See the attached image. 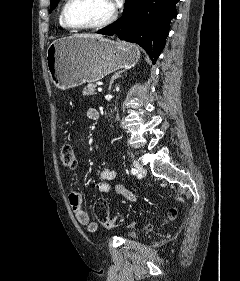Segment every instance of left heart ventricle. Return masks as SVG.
Instances as JSON below:
<instances>
[{"instance_id": "left-heart-ventricle-1", "label": "left heart ventricle", "mask_w": 240, "mask_h": 281, "mask_svg": "<svg viewBox=\"0 0 240 281\" xmlns=\"http://www.w3.org/2000/svg\"><path fill=\"white\" fill-rule=\"evenodd\" d=\"M113 9L112 0H72L67 17L73 24H93L106 19Z\"/></svg>"}]
</instances>
